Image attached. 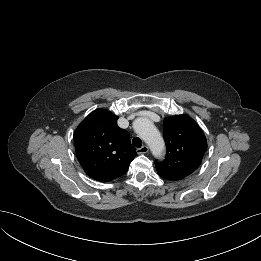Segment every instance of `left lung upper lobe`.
Wrapping results in <instances>:
<instances>
[{
  "label": "left lung upper lobe",
  "mask_w": 261,
  "mask_h": 261,
  "mask_svg": "<svg viewBox=\"0 0 261 261\" xmlns=\"http://www.w3.org/2000/svg\"><path fill=\"white\" fill-rule=\"evenodd\" d=\"M163 126L167 153L163 161H155L156 170L163 179L178 181L199 167L207 141L199 125L187 115L167 117Z\"/></svg>",
  "instance_id": "obj_1"
}]
</instances>
